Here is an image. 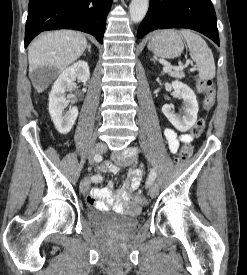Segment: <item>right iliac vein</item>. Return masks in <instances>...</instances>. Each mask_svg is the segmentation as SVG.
Returning <instances> with one entry per match:
<instances>
[{
  "instance_id": "right-iliac-vein-1",
  "label": "right iliac vein",
  "mask_w": 247,
  "mask_h": 275,
  "mask_svg": "<svg viewBox=\"0 0 247 275\" xmlns=\"http://www.w3.org/2000/svg\"><path fill=\"white\" fill-rule=\"evenodd\" d=\"M106 149L107 147L104 143H98L92 148L90 152V157H92L93 155H101L106 151ZM90 184H91L90 178L84 177L81 180L80 186H79L81 193L85 194L89 190Z\"/></svg>"
}]
</instances>
